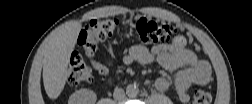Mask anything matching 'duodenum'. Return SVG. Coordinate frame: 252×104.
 <instances>
[{"label": "duodenum", "mask_w": 252, "mask_h": 104, "mask_svg": "<svg viewBox=\"0 0 252 104\" xmlns=\"http://www.w3.org/2000/svg\"><path fill=\"white\" fill-rule=\"evenodd\" d=\"M108 82L111 83V82H112V79H108Z\"/></svg>", "instance_id": "410a0bca"}]
</instances>
